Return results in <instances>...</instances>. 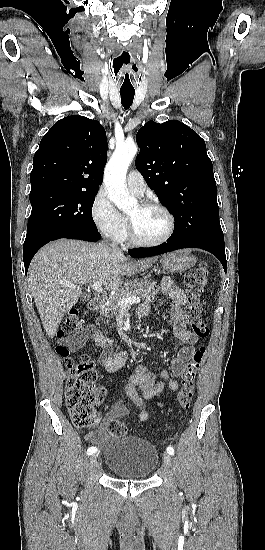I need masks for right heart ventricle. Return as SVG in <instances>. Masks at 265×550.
<instances>
[{
    "mask_svg": "<svg viewBox=\"0 0 265 550\" xmlns=\"http://www.w3.org/2000/svg\"><path fill=\"white\" fill-rule=\"evenodd\" d=\"M125 220H126V219H125ZM126 224H127V222H126ZM126 237H127V232L125 233L123 239H126Z\"/></svg>",
    "mask_w": 265,
    "mask_h": 550,
    "instance_id": "e07e8e85",
    "label": "right heart ventricle"
}]
</instances>
